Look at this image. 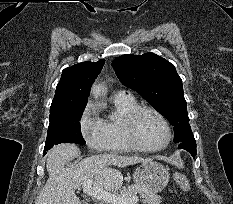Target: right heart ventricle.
Masks as SVG:
<instances>
[{"instance_id": "obj_1", "label": "right heart ventricle", "mask_w": 233, "mask_h": 204, "mask_svg": "<svg viewBox=\"0 0 233 204\" xmlns=\"http://www.w3.org/2000/svg\"><path fill=\"white\" fill-rule=\"evenodd\" d=\"M113 113L103 120L107 150L114 152L130 151L123 129L125 116L138 106L137 101L130 95H115L113 97Z\"/></svg>"}]
</instances>
